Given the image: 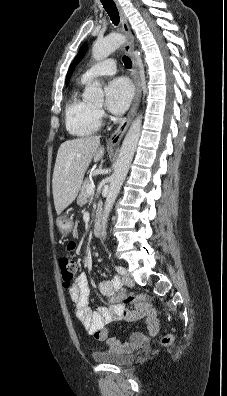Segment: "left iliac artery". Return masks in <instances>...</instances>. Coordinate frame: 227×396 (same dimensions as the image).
I'll return each mask as SVG.
<instances>
[{"instance_id": "left-iliac-artery-1", "label": "left iliac artery", "mask_w": 227, "mask_h": 396, "mask_svg": "<svg viewBox=\"0 0 227 396\" xmlns=\"http://www.w3.org/2000/svg\"><path fill=\"white\" fill-rule=\"evenodd\" d=\"M115 270H116L118 273H120V274H123V273L125 272L124 268L121 267V266H115Z\"/></svg>"}]
</instances>
